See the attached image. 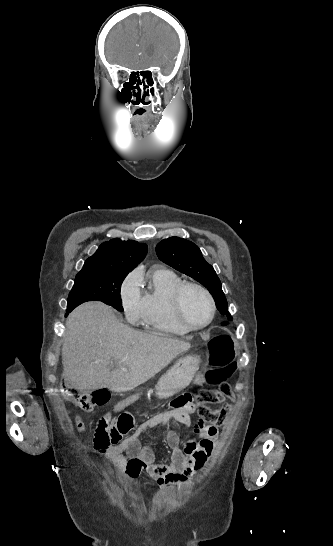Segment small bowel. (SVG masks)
Returning a JSON list of instances; mask_svg holds the SVG:
<instances>
[{
  "label": "small bowel",
  "mask_w": 333,
  "mask_h": 546,
  "mask_svg": "<svg viewBox=\"0 0 333 546\" xmlns=\"http://www.w3.org/2000/svg\"><path fill=\"white\" fill-rule=\"evenodd\" d=\"M203 375L202 370L193 371L191 377L194 380L193 386H202ZM211 393H208V395ZM129 396L126 402H115V406L112 408L115 414L122 412L139 395L132 392ZM220 402L223 406L217 410H211L204 406L200 407L199 414L207 421V425L198 430L201 435L198 442L194 440L182 441L181 437L175 432L168 434V444L173 449L169 464L156 463L152 451L141 446L140 438L148 429L161 424H182L186 432H189L195 427L190 417V413L194 410L193 404L174 407L169 411L159 413L143 422L136 429H134L132 416L129 413H122L129 417V432L132 433L109 449L108 458L113 469L125 472L131 478L138 477L142 472H146L163 488H169L173 485H187L189 478L197 475L205 467L208 460L213 456L219 442L217 427L225 426L226 416L230 414L228 411L232 407L225 398L221 399Z\"/></svg>",
  "instance_id": "c3829d8e"
}]
</instances>
